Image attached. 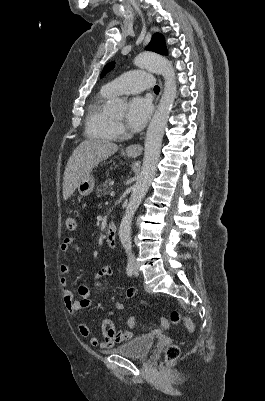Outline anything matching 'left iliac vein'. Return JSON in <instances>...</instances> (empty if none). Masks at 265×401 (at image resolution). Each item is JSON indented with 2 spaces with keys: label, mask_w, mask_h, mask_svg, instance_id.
Wrapping results in <instances>:
<instances>
[{
  "label": "left iliac vein",
  "mask_w": 265,
  "mask_h": 401,
  "mask_svg": "<svg viewBox=\"0 0 265 401\" xmlns=\"http://www.w3.org/2000/svg\"><path fill=\"white\" fill-rule=\"evenodd\" d=\"M132 267H133L134 275L137 276L139 274V271H138V267L135 262L132 263Z\"/></svg>",
  "instance_id": "obj_1"
}]
</instances>
